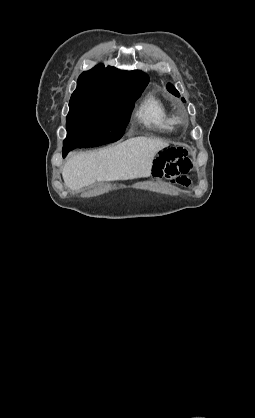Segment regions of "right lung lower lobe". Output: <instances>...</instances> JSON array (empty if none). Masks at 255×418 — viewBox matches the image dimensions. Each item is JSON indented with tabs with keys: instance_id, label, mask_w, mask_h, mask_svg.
Here are the masks:
<instances>
[{
	"instance_id": "98d812e1",
	"label": "right lung lower lobe",
	"mask_w": 255,
	"mask_h": 418,
	"mask_svg": "<svg viewBox=\"0 0 255 418\" xmlns=\"http://www.w3.org/2000/svg\"><path fill=\"white\" fill-rule=\"evenodd\" d=\"M71 149L67 148V147H63V157L66 156V154L70 151Z\"/></svg>"
}]
</instances>
